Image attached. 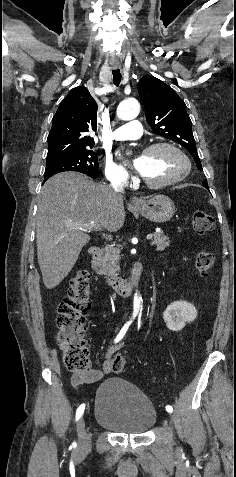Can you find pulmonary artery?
<instances>
[{"instance_id":"e3ab8cb5","label":"pulmonary artery","mask_w":236,"mask_h":477,"mask_svg":"<svg viewBox=\"0 0 236 477\" xmlns=\"http://www.w3.org/2000/svg\"><path fill=\"white\" fill-rule=\"evenodd\" d=\"M142 134V126L138 120H132L112 131L114 140L138 139Z\"/></svg>"}]
</instances>
